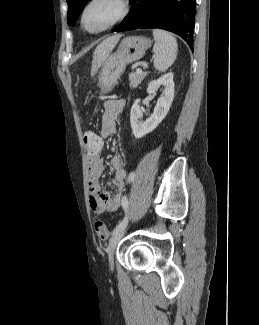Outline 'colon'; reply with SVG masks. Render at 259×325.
Here are the masks:
<instances>
[{
    "label": "colon",
    "instance_id": "5ec220e1",
    "mask_svg": "<svg viewBox=\"0 0 259 325\" xmlns=\"http://www.w3.org/2000/svg\"><path fill=\"white\" fill-rule=\"evenodd\" d=\"M84 145L86 150L102 149V138H97V135L94 132L88 131L84 134ZM94 228L99 240H107L109 231L103 221L97 220L94 224Z\"/></svg>",
    "mask_w": 259,
    "mask_h": 325
}]
</instances>
